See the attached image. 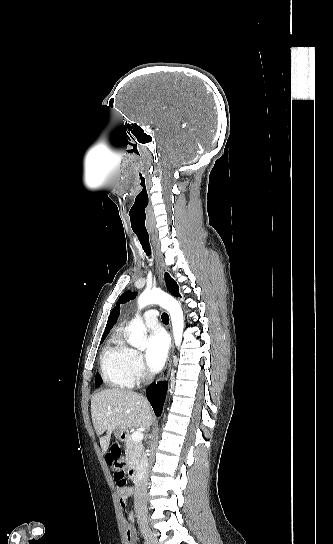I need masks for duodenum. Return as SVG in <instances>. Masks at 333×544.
Returning a JSON list of instances; mask_svg holds the SVG:
<instances>
[{
    "instance_id": "obj_1",
    "label": "duodenum",
    "mask_w": 333,
    "mask_h": 544,
    "mask_svg": "<svg viewBox=\"0 0 333 544\" xmlns=\"http://www.w3.org/2000/svg\"><path fill=\"white\" fill-rule=\"evenodd\" d=\"M122 438H126V435L123 434V435H122ZM128 475H129V478H130L133 482H138V481L141 479V473H140L138 467H136V466H131V467L128 469Z\"/></svg>"
}]
</instances>
